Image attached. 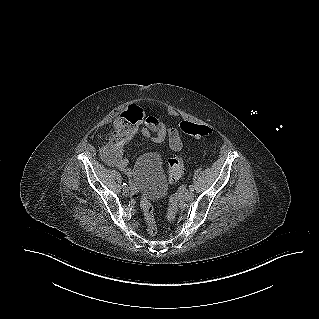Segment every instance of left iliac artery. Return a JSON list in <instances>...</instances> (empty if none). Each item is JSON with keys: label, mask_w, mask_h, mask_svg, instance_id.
Masks as SVG:
<instances>
[{"label": "left iliac artery", "mask_w": 319, "mask_h": 319, "mask_svg": "<svg viewBox=\"0 0 319 319\" xmlns=\"http://www.w3.org/2000/svg\"><path fill=\"white\" fill-rule=\"evenodd\" d=\"M189 189H190V191H194V186H193V185H190V186H189Z\"/></svg>", "instance_id": "1"}]
</instances>
